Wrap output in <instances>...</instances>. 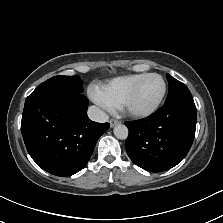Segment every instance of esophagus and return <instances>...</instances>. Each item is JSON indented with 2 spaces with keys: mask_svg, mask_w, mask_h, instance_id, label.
<instances>
[{
  "mask_svg": "<svg viewBox=\"0 0 223 223\" xmlns=\"http://www.w3.org/2000/svg\"><path fill=\"white\" fill-rule=\"evenodd\" d=\"M109 123H110V127L112 128V127H114L115 125L120 124V121H119V120H116V119H111V120L109 121Z\"/></svg>",
  "mask_w": 223,
  "mask_h": 223,
  "instance_id": "obj_1",
  "label": "esophagus"
}]
</instances>
